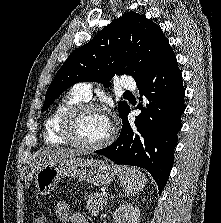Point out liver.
Here are the masks:
<instances>
[{
	"label": "liver",
	"instance_id": "6515ba94",
	"mask_svg": "<svg viewBox=\"0 0 221 223\" xmlns=\"http://www.w3.org/2000/svg\"><path fill=\"white\" fill-rule=\"evenodd\" d=\"M81 152L72 148H50L38 153L35 159L37 171L44 165L51 164L60 159L72 158L80 155Z\"/></svg>",
	"mask_w": 221,
	"mask_h": 223
}]
</instances>
